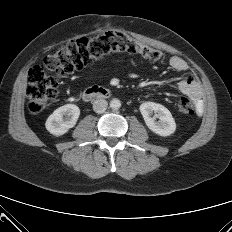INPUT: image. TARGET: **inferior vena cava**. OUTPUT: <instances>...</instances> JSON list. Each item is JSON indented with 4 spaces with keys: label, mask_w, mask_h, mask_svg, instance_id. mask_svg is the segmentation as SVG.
<instances>
[{
    "label": "inferior vena cava",
    "mask_w": 232,
    "mask_h": 232,
    "mask_svg": "<svg viewBox=\"0 0 232 232\" xmlns=\"http://www.w3.org/2000/svg\"><path fill=\"white\" fill-rule=\"evenodd\" d=\"M107 106H108V103L104 99H97L93 102V110L99 114L105 112V110L107 109Z\"/></svg>",
    "instance_id": "obj_1"
}]
</instances>
